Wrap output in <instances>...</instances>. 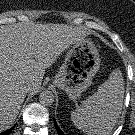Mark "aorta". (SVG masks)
<instances>
[{
  "label": "aorta",
  "instance_id": "1",
  "mask_svg": "<svg viewBox=\"0 0 135 135\" xmlns=\"http://www.w3.org/2000/svg\"><path fill=\"white\" fill-rule=\"evenodd\" d=\"M55 97L51 91H43L39 95V101L44 106H50L54 103Z\"/></svg>",
  "mask_w": 135,
  "mask_h": 135
}]
</instances>
